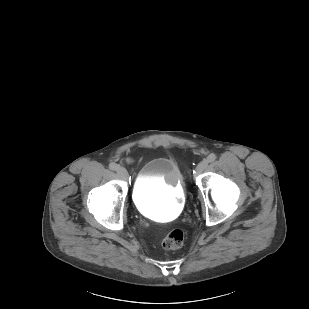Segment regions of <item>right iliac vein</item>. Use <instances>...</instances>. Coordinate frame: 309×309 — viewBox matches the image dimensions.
Wrapping results in <instances>:
<instances>
[{
    "label": "right iliac vein",
    "instance_id": "right-iliac-vein-1",
    "mask_svg": "<svg viewBox=\"0 0 309 309\" xmlns=\"http://www.w3.org/2000/svg\"><path fill=\"white\" fill-rule=\"evenodd\" d=\"M116 171H117L118 176H119L121 179H123V180H127V179H128V172L126 171L125 168H123V167H118Z\"/></svg>",
    "mask_w": 309,
    "mask_h": 309
}]
</instances>
